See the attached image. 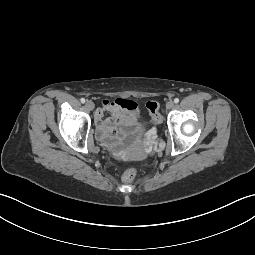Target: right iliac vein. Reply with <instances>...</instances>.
<instances>
[{
    "label": "right iliac vein",
    "instance_id": "right-iliac-vein-1",
    "mask_svg": "<svg viewBox=\"0 0 255 255\" xmlns=\"http://www.w3.org/2000/svg\"><path fill=\"white\" fill-rule=\"evenodd\" d=\"M85 106L90 111L94 109V103L90 100L86 101Z\"/></svg>",
    "mask_w": 255,
    "mask_h": 255
}]
</instances>
